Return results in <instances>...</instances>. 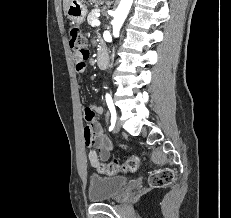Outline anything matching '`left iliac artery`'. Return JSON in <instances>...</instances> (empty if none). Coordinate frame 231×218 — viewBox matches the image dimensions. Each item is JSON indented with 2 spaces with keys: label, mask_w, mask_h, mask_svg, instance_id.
<instances>
[{
  "label": "left iliac artery",
  "mask_w": 231,
  "mask_h": 218,
  "mask_svg": "<svg viewBox=\"0 0 231 218\" xmlns=\"http://www.w3.org/2000/svg\"><path fill=\"white\" fill-rule=\"evenodd\" d=\"M106 102H107L108 108L111 112V123L114 124L116 121V111H115V107L113 104V100H112L110 94H108V93L106 94Z\"/></svg>",
  "instance_id": "left-iliac-artery-1"
}]
</instances>
